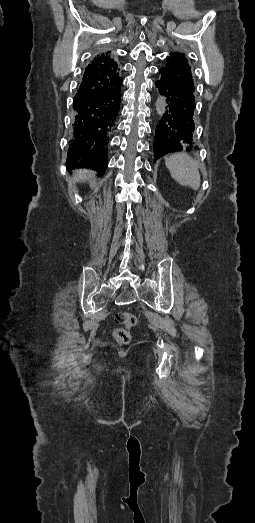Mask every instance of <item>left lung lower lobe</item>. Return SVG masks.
<instances>
[{"label": "left lung lower lobe", "instance_id": "left-lung-lower-lobe-1", "mask_svg": "<svg viewBox=\"0 0 255 523\" xmlns=\"http://www.w3.org/2000/svg\"><path fill=\"white\" fill-rule=\"evenodd\" d=\"M155 88L160 91L157 97H165L164 101L167 103L165 116L158 120L154 130L158 137L151 141V148L154 150L151 160L160 162L164 155L194 150L196 128L193 115L197 114V111H194L197 104L193 102L192 94L187 92V88L172 86L170 77L160 76L155 80ZM159 105L160 109H163L162 102H159Z\"/></svg>", "mask_w": 255, "mask_h": 523}]
</instances>
